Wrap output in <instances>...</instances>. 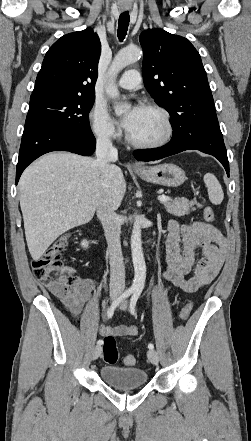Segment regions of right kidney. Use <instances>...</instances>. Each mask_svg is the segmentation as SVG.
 Returning <instances> with one entry per match:
<instances>
[{
	"instance_id": "ca27d5eb",
	"label": "right kidney",
	"mask_w": 251,
	"mask_h": 441,
	"mask_svg": "<svg viewBox=\"0 0 251 441\" xmlns=\"http://www.w3.org/2000/svg\"><path fill=\"white\" fill-rule=\"evenodd\" d=\"M81 246L83 248H88L89 244H88V242L86 240H83L82 243H81Z\"/></svg>"
}]
</instances>
